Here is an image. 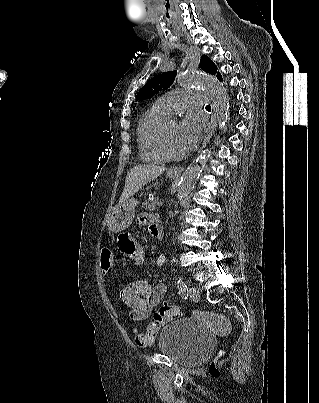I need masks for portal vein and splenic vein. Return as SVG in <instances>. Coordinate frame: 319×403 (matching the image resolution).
Instances as JSON below:
<instances>
[{
  "mask_svg": "<svg viewBox=\"0 0 319 403\" xmlns=\"http://www.w3.org/2000/svg\"><path fill=\"white\" fill-rule=\"evenodd\" d=\"M157 206H159V207H160V206H163V202H161V201H160V202H157Z\"/></svg>",
  "mask_w": 319,
  "mask_h": 403,
  "instance_id": "portal-vein-and-splenic-vein-1",
  "label": "portal vein and splenic vein"
}]
</instances>
